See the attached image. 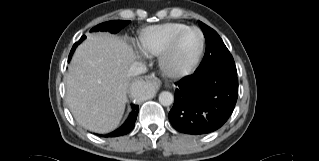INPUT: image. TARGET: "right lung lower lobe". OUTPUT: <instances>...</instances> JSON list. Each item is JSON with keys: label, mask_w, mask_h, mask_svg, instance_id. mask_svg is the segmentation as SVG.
Returning a JSON list of instances; mask_svg holds the SVG:
<instances>
[{"label": "right lung lower lobe", "mask_w": 319, "mask_h": 161, "mask_svg": "<svg viewBox=\"0 0 319 161\" xmlns=\"http://www.w3.org/2000/svg\"><path fill=\"white\" fill-rule=\"evenodd\" d=\"M138 108H139L138 105H132V112L130 113L126 122L119 129L115 130L114 132L110 134H106L104 136L116 137V136H122L129 133L134 128L135 121L138 114Z\"/></svg>", "instance_id": "1"}]
</instances>
